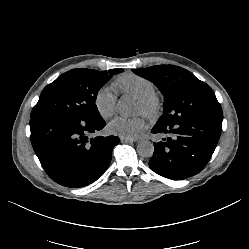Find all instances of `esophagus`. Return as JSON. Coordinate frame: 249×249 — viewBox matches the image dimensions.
<instances>
[{
    "mask_svg": "<svg viewBox=\"0 0 249 249\" xmlns=\"http://www.w3.org/2000/svg\"><path fill=\"white\" fill-rule=\"evenodd\" d=\"M120 139H121L122 143H132V142H134V140L131 139V138L121 137Z\"/></svg>",
    "mask_w": 249,
    "mask_h": 249,
    "instance_id": "esophagus-1",
    "label": "esophagus"
}]
</instances>
